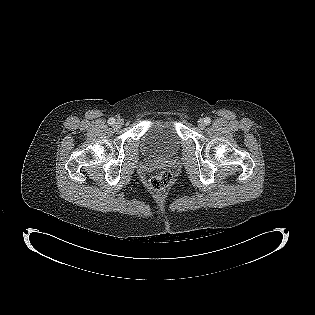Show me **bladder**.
<instances>
[{
	"instance_id": "1",
	"label": "bladder",
	"mask_w": 315,
	"mask_h": 315,
	"mask_svg": "<svg viewBox=\"0 0 315 315\" xmlns=\"http://www.w3.org/2000/svg\"><path fill=\"white\" fill-rule=\"evenodd\" d=\"M175 122L166 120L150 128L142 138L141 147L143 152L153 159H167L177 153L180 147Z\"/></svg>"
}]
</instances>
